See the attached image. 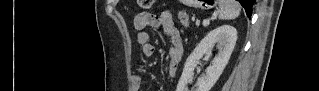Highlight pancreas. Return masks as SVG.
Instances as JSON below:
<instances>
[{
    "label": "pancreas",
    "mask_w": 319,
    "mask_h": 91,
    "mask_svg": "<svg viewBox=\"0 0 319 91\" xmlns=\"http://www.w3.org/2000/svg\"><path fill=\"white\" fill-rule=\"evenodd\" d=\"M178 18L181 22V24L184 26V27H187L189 25V21H188V15L183 13V12H179L178 13Z\"/></svg>",
    "instance_id": "pancreas-1"
}]
</instances>
